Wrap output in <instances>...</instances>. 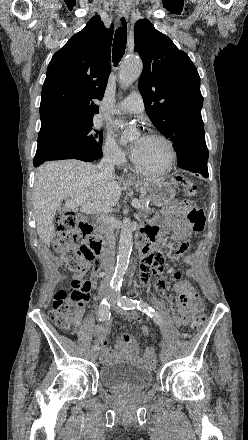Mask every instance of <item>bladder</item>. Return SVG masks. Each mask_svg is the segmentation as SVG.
Here are the masks:
<instances>
[{"label": "bladder", "instance_id": "obj_1", "mask_svg": "<svg viewBox=\"0 0 248 440\" xmlns=\"http://www.w3.org/2000/svg\"><path fill=\"white\" fill-rule=\"evenodd\" d=\"M98 378L111 390L143 391L152 385L153 370L135 361L115 359L100 366Z\"/></svg>", "mask_w": 248, "mask_h": 440}]
</instances>
